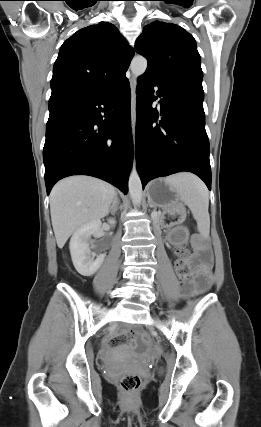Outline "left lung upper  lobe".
Segmentation results:
<instances>
[{
  "mask_svg": "<svg viewBox=\"0 0 261 427\" xmlns=\"http://www.w3.org/2000/svg\"><path fill=\"white\" fill-rule=\"evenodd\" d=\"M135 51L148 60L142 76L161 84H182L203 91L196 41L182 27L161 21L145 26Z\"/></svg>",
  "mask_w": 261,
  "mask_h": 427,
  "instance_id": "1",
  "label": "left lung upper lobe"
}]
</instances>
